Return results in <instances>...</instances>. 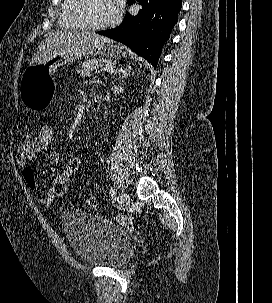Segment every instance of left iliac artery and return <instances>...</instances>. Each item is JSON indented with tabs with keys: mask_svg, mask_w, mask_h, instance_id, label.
<instances>
[{
	"mask_svg": "<svg viewBox=\"0 0 272 303\" xmlns=\"http://www.w3.org/2000/svg\"><path fill=\"white\" fill-rule=\"evenodd\" d=\"M110 195L112 198L115 199V189L114 188H110Z\"/></svg>",
	"mask_w": 272,
	"mask_h": 303,
	"instance_id": "left-iliac-artery-1",
	"label": "left iliac artery"
}]
</instances>
